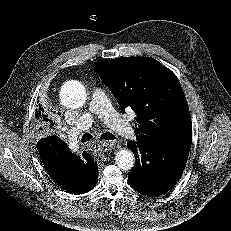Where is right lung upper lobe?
I'll use <instances>...</instances> for the list:
<instances>
[{
    "label": "right lung upper lobe",
    "mask_w": 231,
    "mask_h": 231,
    "mask_svg": "<svg viewBox=\"0 0 231 231\" xmlns=\"http://www.w3.org/2000/svg\"><path fill=\"white\" fill-rule=\"evenodd\" d=\"M35 118L41 124H44V120L47 121L46 115L44 114V110L41 108V105H39V107L36 108ZM73 157H77V156H73ZM69 159L72 160L73 158H69Z\"/></svg>",
    "instance_id": "right-lung-upper-lobe-1"
}]
</instances>
